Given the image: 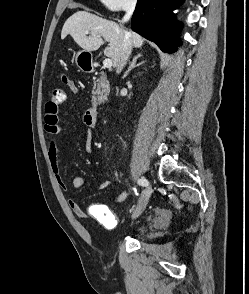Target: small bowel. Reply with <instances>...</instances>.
<instances>
[{"label":"small bowel","mask_w":249,"mask_h":294,"mask_svg":"<svg viewBox=\"0 0 249 294\" xmlns=\"http://www.w3.org/2000/svg\"><path fill=\"white\" fill-rule=\"evenodd\" d=\"M62 82L68 87L72 93L78 92V87L74 80L62 75ZM83 123L87 128V135L85 140V150L87 153H92L94 151V146L92 142V130L96 126V122L92 121L87 111L83 115ZM44 129L51 135L49 142L48 158L52 168V172L55 181L59 188L67 192L69 187L64 179L60 166H59V140L57 136L61 131L59 125V106L47 103L44 116ZM72 185L76 189H83L85 187V182L81 176L75 175L72 178ZM110 186L109 182H104L99 186V190H105ZM128 194L125 190H120L113 198L114 204H122L126 201ZM68 206L71 211L80 219L94 218L97 220L104 228L114 229L118 223L117 215L112 212L106 204L91 202L86 208L81 207L76 201L68 199ZM159 215L158 219L160 218Z\"/></svg>","instance_id":"1"}]
</instances>
